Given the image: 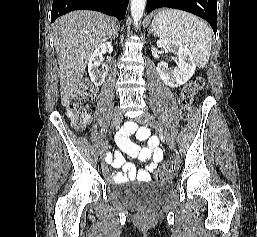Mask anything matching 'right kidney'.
Instances as JSON below:
<instances>
[{
	"label": "right kidney",
	"instance_id": "right-kidney-1",
	"mask_svg": "<svg viewBox=\"0 0 257 237\" xmlns=\"http://www.w3.org/2000/svg\"><path fill=\"white\" fill-rule=\"evenodd\" d=\"M108 51H113L112 42H106L99 45L88 59V73L91 81L99 86L103 84L107 75V66L102 65L103 54ZM102 67L100 68V66Z\"/></svg>",
	"mask_w": 257,
	"mask_h": 237
}]
</instances>
